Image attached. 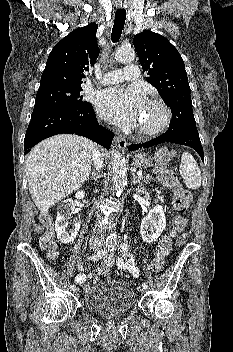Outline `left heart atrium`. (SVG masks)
Segmentation results:
<instances>
[{"mask_svg":"<svg viewBox=\"0 0 233 352\" xmlns=\"http://www.w3.org/2000/svg\"><path fill=\"white\" fill-rule=\"evenodd\" d=\"M144 103L142 93L135 87L108 88L96 98L98 112L125 128L137 126Z\"/></svg>","mask_w":233,"mask_h":352,"instance_id":"1","label":"left heart atrium"}]
</instances>
